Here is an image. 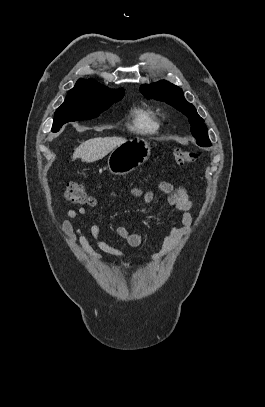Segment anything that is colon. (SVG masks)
<instances>
[{
	"mask_svg": "<svg viewBox=\"0 0 265 407\" xmlns=\"http://www.w3.org/2000/svg\"><path fill=\"white\" fill-rule=\"evenodd\" d=\"M173 156L177 164L186 165L194 162L198 158V153L191 150L176 149ZM64 196L68 201L77 205H91L94 203V199L85 186L74 182L66 185Z\"/></svg>",
	"mask_w": 265,
	"mask_h": 407,
	"instance_id": "1",
	"label": "colon"
}]
</instances>
